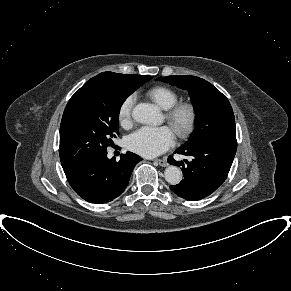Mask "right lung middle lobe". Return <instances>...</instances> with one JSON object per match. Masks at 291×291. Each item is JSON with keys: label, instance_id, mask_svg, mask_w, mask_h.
I'll use <instances>...</instances> for the list:
<instances>
[{"label": "right lung middle lobe", "instance_id": "dd1d6c3e", "mask_svg": "<svg viewBox=\"0 0 291 291\" xmlns=\"http://www.w3.org/2000/svg\"><path fill=\"white\" fill-rule=\"evenodd\" d=\"M137 86L89 82L69 100L60 125V160L64 172L79 162L107 151L119 134L118 117L125 99Z\"/></svg>", "mask_w": 291, "mask_h": 291}]
</instances>
